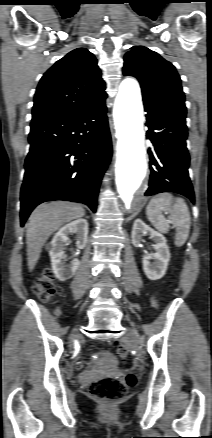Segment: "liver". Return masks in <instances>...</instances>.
<instances>
[{
	"instance_id": "1",
	"label": "liver",
	"mask_w": 212,
	"mask_h": 438,
	"mask_svg": "<svg viewBox=\"0 0 212 438\" xmlns=\"http://www.w3.org/2000/svg\"><path fill=\"white\" fill-rule=\"evenodd\" d=\"M84 215L85 210L80 205L63 201L44 203L35 208L26 230L29 271L34 269L48 238L65 223Z\"/></svg>"
}]
</instances>
